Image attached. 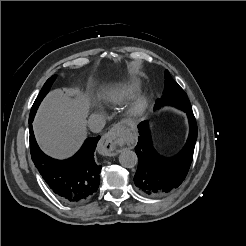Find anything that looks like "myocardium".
<instances>
[{
    "label": "myocardium",
    "instance_id": "obj_1",
    "mask_svg": "<svg viewBox=\"0 0 246 246\" xmlns=\"http://www.w3.org/2000/svg\"><path fill=\"white\" fill-rule=\"evenodd\" d=\"M148 108V101L145 97H136L132 100L128 108V114L131 117H141L145 114Z\"/></svg>",
    "mask_w": 246,
    "mask_h": 246
}]
</instances>
